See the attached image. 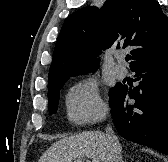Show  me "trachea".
<instances>
[{"instance_id": "1", "label": "trachea", "mask_w": 168, "mask_h": 162, "mask_svg": "<svg viewBox=\"0 0 168 162\" xmlns=\"http://www.w3.org/2000/svg\"><path fill=\"white\" fill-rule=\"evenodd\" d=\"M126 61H129L130 59H131V57L130 56H126Z\"/></svg>"}]
</instances>
